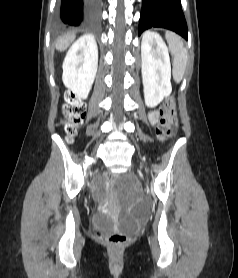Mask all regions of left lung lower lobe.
<instances>
[{
    "label": "left lung lower lobe",
    "mask_w": 238,
    "mask_h": 278,
    "mask_svg": "<svg viewBox=\"0 0 238 278\" xmlns=\"http://www.w3.org/2000/svg\"><path fill=\"white\" fill-rule=\"evenodd\" d=\"M151 27L167 28L188 39L180 0H143L138 34Z\"/></svg>",
    "instance_id": "left-lung-lower-lobe-1"
}]
</instances>
